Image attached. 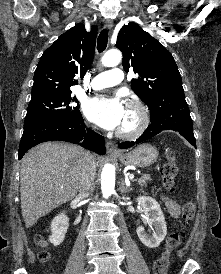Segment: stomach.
<instances>
[{
  "label": "stomach",
  "mask_w": 221,
  "mask_h": 274,
  "mask_svg": "<svg viewBox=\"0 0 221 274\" xmlns=\"http://www.w3.org/2000/svg\"><path fill=\"white\" fill-rule=\"evenodd\" d=\"M159 152L155 146L143 144L131 152L117 155L119 160L126 166L148 167L158 159Z\"/></svg>",
  "instance_id": "1"
}]
</instances>
